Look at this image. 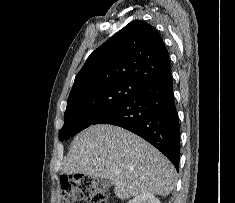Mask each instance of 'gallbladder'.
Here are the masks:
<instances>
[{
  "instance_id": "bac80fb5",
  "label": "gallbladder",
  "mask_w": 235,
  "mask_h": 203,
  "mask_svg": "<svg viewBox=\"0 0 235 203\" xmlns=\"http://www.w3.org/2000/svg\"><path fill=\"white\" fill-rule=\"evenodd\" d=\"M101 183H102L103 185H105V186H111V182H110L109 180H107V179H102V180H101Z\"/></svg>"
}]
</instances>
